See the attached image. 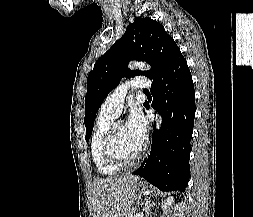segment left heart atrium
Segmentation results:
<instances>
[{
    "instance_id": "obj_1",
    "label": "left heart atrium",
    "mask_w": 253,
    "mask_h": 217,
    "mask_svg": "<svg viewBox=\"0 0 253 217\" xmlns=\"http://www.w3.org/2000/svg\"><path fill=\"white\" fill-rule=\"evenodd\" d=\"M126 126L135 136L144 141L147 132V122L138 108L132 109Z\"/></svg>"
}]
</instances>
